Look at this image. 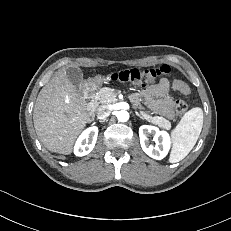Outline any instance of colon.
<instances>
[{"instance_id":"5ec220e1","label":"colon","mask_w":231,"mask_h":231,"mask_svg":"<svg viewBox=\"0 0 231 231\" xmlns=\"http://www.w3.org/2000/svg\"><path fill=\"white\" fill-rule=\"evenodd\" d=\"M170 73V67L161 65L157 68H132L126 69L113 74V79L125 83H130L135 87H144L153 82L156 78ZM175 111L182 116L187 111V104L183 100H177L175 103Z\"/></svg>"}]
</instances>
